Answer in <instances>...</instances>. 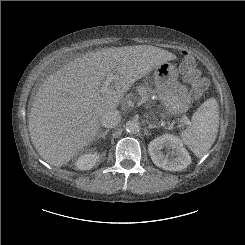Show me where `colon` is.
<instances>
[{
	"mask_svg": "<svg viewBox=\"0 0 245 245\" xmlns=\"http://www.w3.org/2000/svg\"><path fill=\"white\" fill-rule=\"evenodd\" d=\"M180 72L184 80L189 84L192 97L199 98L206 93L209 87V80L201 74L195 58L188 52L182 53Z\"/></svg>",
	"mask_w": 245,
	"mask_h": 245,
	"instance_id": "1",
	"label": "colon"
}]
</instances>
